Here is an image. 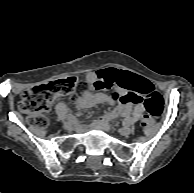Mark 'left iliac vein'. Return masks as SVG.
Here are the masks:
<instances>
[{
  "instance_id": "4c4485c4",
  "label": "left iliac vein",
  "mask_w": 194,
  "mask_h": 193,
  "mask_svg": "<svg viewBox=\"0 0 194 193\" xmlns=\"http://www.w3.org/2000/svg\"><path fill=\"white\" fill-rule=\"evenodd\" d=\"M118 132L123 136H128L133 132V128L125 126L118 130Z\"/></svg>"
}]
</instances>
